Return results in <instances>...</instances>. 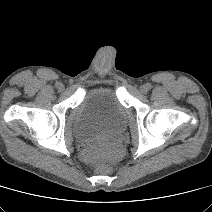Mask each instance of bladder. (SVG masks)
I'll list each match as a JSON object with an SVG mask.
<instances>
[{"mask_svg":"<svg viewBox=\"0 0 212 212\" xmlns=\"http://www.w3.org/2000/svg\"><path fill=\"white\" fill-rule=\"evenodd\" d=\"M127 124V110L117 93L98 88L85 94L76 110L74 134L81 142L121 133Z\"/></svg>","mask_w":212,"mask_h":212,"instance_id":"obj_1","label":"bladder"}]
</instances>
